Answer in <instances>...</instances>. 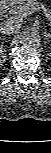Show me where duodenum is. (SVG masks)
<instances>
[{
	"mask_svg": "<svg viewBox=\"0 0 51 153\" xmlns=\"http://www.w3.org/2000/svg\"><path fill=\"white\" fill-rule=\"evenodd\" d=\"M7 0L1 4L0 12L3 13L7 9Z\"/></svg>",
	"mask_w": 51,
	"mask_h": 153,
	"instance_id": "duodenum-1",
	"label": "duodenum"
}]
</instances>
